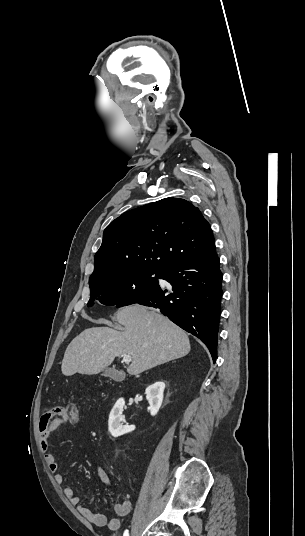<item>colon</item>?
Returning a JSON list of instances; mask_svg holds the SVG:
<instances>
[{
  "label": "colon",
  "mask_w": 305,
  "mask_h": 536,
  "mask_svg": "<svg viewBox=\"0 0 305 536\" xmlns=\"http://www.w3.org/2000/svg\"><path fill=\"white\" fill-rule=\"evenodd\" d=\"M65 408L64 415H68L70 422L75 423L78 419V409L74 404L63 405Z\"/></svg>",
  "instance_id": "colon-1"
}]
</instances>
